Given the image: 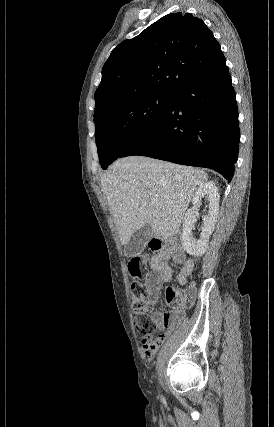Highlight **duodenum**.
<instances>
[{
    "instance_id": "1",
    "label": "duodenum",
    "mask_w": 274,
    "mask_h": 427,
    "mask_svg": "<svg viewBox=\"0 0 274 427\" xmlns=\"http://www.w3.org/2000/svg\"><path fill=\"white\" fill-rule=\"evenodd\" d=\"M153 245L156 248H160L161 247V242L158 239H154L153 240Z\"/></svg>"
}]
</instances>
